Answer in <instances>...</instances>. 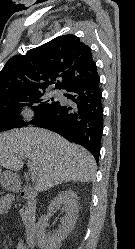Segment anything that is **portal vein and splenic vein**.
Listing matches in <instances>:
<instances>
[{"instance_id": "18ae733b", "label": "portal vein and splenic vein", "mask_w": 135, "mask_h": 249, "mask_svg": "<svg viewBox=\"0 0 135 249\" xmlns=\"http://www.w3.org/2000/svg\"><path fill=\"white\" fill-rule=\"evenodd\" d=\"M28 166H29V172L31 175V179L34 181L36 179L38 167H37L36 163L32 162V161H28Z\"/></svg>"}]
</instances>
